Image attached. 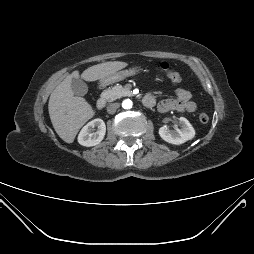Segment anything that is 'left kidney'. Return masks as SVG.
I'll return each mask as SVG.
<instances>
[{
	"instance_id": "left-kidney-1",
	"label": "left kidney",
	"mask_w": 254,
	"mask_h": 254,
	"mask_svg": "<svg viewBox=\"0 0 254 254\" xmlns=\"http://www.w3.org/2000/svg\"><path fill=\"white\" fill-rule=\"evenodd\" d=\"M180 128L169 129L167 126H162L159 129L160 137L171 144L180 145L188 140H191L195 136V130L190 122L184 118H179Z\"/></svg>"
}]
</instances>
